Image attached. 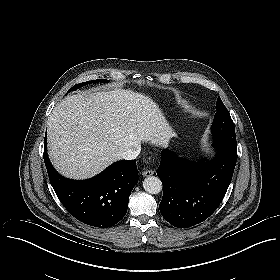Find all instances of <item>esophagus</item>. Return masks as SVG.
I'll return each mask as SVG.
<instances>
[{
  "label": "esophagus",
  "instance_id": "34e87169",
  "mask_svg": "<svg viewBox=\"0 0 280 280\" xmlns=\"http://www.w3.org/2000/svg\"><path fill=\"white\" fill-rule=\"evenodd\" d=\"M153 174H154V170H152V169L142 171V173H141V175H142L143 177H149V176H151V175H153Z\"/></svg>",
  "mask_w": 280,
  "mask_h": 280
}]
</instances>
